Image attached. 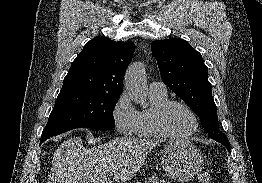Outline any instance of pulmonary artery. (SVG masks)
<instances>
[{"mask_svg":"<svg viewBox=\"0 0 262 183\" xmlns=\"http://www.w3.org/2000/svg\"><path fill=\"white\" fill-rule=\"evenodd\" d=\"M149 92L164 93L167 92L166 85L163 82L154 81L149 85Z\"/></svg>","mask_w":262,"mask_h":183,"instance_id":"pulmonary-artery-1","label":"pulmonary artery"}]
</instances>
